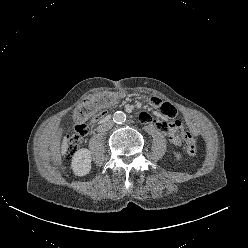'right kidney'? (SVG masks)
<instances>
[{"label":"right kidney","instance_id":"1","mask_svg":"<svg viewBox=\"0 0 248 248\" xmlns=\"http://www.w3.org/2000/svg\"><path fill=\"white\" fill-rule=\"evenodd\" d=\"M91 153L88 149L82 148L76 151L72 157L71 168L75 175L85 176L91 170Z\"/></svg>","mask_w":248,"mask_h":248}]
</instances>
